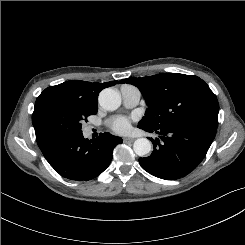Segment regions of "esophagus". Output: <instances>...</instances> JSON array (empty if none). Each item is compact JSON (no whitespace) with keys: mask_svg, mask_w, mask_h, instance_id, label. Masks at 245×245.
<instances>
[{"mask_svg":"<svg viewBox=\"0 0 245 245\" xmlns=\"http://www.w3.org/2000/svg\"><path fill=\"white\" fill-rule=\"evenodd\" d=\"M123 141L124 142H133L134 141V138H131V137H125V138H123Z\"/></svg>","mask_w":245,"mask_h":245,"instance_id":"1","label":"esophagus"}]
</instances>
